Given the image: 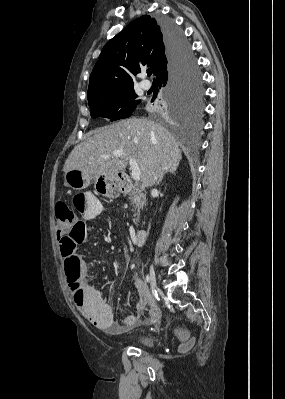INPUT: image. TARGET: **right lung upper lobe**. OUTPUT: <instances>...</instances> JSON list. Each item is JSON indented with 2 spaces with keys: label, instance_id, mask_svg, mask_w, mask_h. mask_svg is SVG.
<instances>
[{
  "label": "right lung upper lobe",
  "instance_id": "1",
  "mask_svg": "<svg viewBox=\"0 0 285 399\" xmlns=\"http://www.w3.org/2000/svg\"><path fill=\"white\" fill-rule=\"evenodd\" d=\"M147 65L158 73L167 65L160 23L148 15L131 22L102 49L89 79L88 101L133 89V79Z\"/></svg>",
  "mask_w": 285,
  "mask_h": 399
}]
</instances>
